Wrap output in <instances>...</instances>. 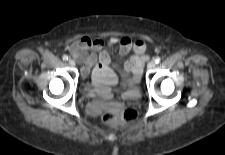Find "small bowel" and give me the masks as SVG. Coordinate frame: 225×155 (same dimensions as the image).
<instances>
[{
	"label": "small bowel",
	"mask_w": 225,
	"mask_h": 155,
	"mask_svg": "<svg viewBox=\"0 0 225 155\" xmlns=\"http://www.w3.org/2000/svg\"><path fill=\"white\" fill-rule=\"evenodd\" d=\"M110 47H118L121 55H126L131 50L134 54L122 66H119L111 60L108 51ZM69 50L76 61L80 63L83 76H87L92 66H94L92 84H84L83 89L87 92L95 90L102 94L109 93L110 86L117 83L116 71L119 69L131 72L133 77L129 84H135L147 60L146 44L142 40L132 41L127 37H113L105 42L101 38L82 36L70 44Z\"/></svg>",
	"instance_id": "small-bowel-1"
}]
</instances>
